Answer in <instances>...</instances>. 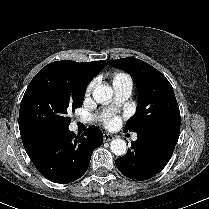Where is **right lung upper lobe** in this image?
Here are the masks:
<instances>
[{"instance_id":"obj_1","label":"right lung upper lobe","mask_w":209,"mask_h":209,"mask_svg":"<svg viewBox=\"0 0 209 209\" xmlns=\"http://www.w3.org/2000/svg\"><path fill=\"white\" fill-rule=\"evenodd\" d=\"M62 63H69L75 64L82 68L84 71L88 81L90 82L93 77H95L101 69L106 66L108 63L105 61H93V62H82L78 63L71 60H63V61H56ZM20 134L22 138V142L26 152H30L31 150L35 149L40 143H42L45 139L53 136V135H44L32 130L27 129L23 125L19 124Z\"/></svg>"}]
</instances>
